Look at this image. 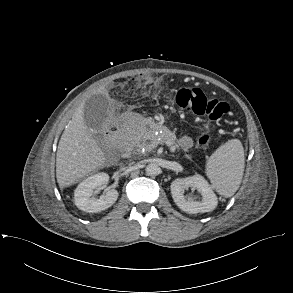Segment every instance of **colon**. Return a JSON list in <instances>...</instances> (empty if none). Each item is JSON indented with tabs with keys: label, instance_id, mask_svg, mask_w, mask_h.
Masks as SVG:
<instances>
[{
	"label": "colon",
	"instance_id": "1",
	"mask_svg": "<svg viewBox=\"0 0 293 293\" xmlns=\"http://www.w3.org/2000/svg\"><path fill=\"white\" fill-rule=\"evenodd\" d=\"M137 82H139V79H137ZM176 102L184 111L190 114L208 116L214 123L229 112L228 103L208 97L201 88L195 86L180 88L176 94ZM209 142V136H204L199 140L200 145H207Z\"/></svg>",
	"mask_w": 293,
	"mask_h": 293
}]
</instances>
